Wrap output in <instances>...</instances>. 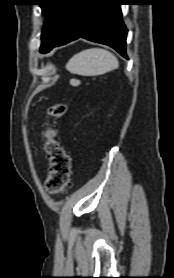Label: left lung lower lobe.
<instances>
[{"label": "left lung lower lobe", "mask_w": 174, "mask_h": 278, "mask_svg": "<svg viewBox=\"0 0 174 278\" xmlns=\"http://www.w3.org/2000/svg\"><path fill=\"white\" fill-rule=\"evenodd\" d=\"M122 4V0H77L64 34L52 48L82 37L111 46L128 59L125 51L127 29L120 9Z\"/></svg>", "instance_id": "left-lung-lower-lobe-1"}]
</instances>
